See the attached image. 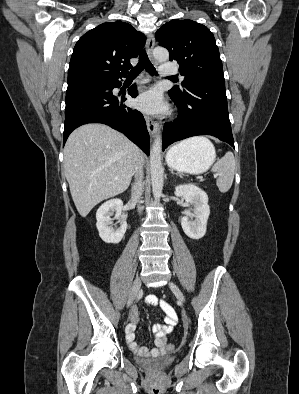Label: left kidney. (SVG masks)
Returning <instances> with one entry per match:
<instances>
[{
	"instance_id": "1",
	"label": "left kidney",
	"mask_w": 299,
	"mask_h": 394,
	"mask_svg": "<svg viewBox=\"0 0 299 394\" xmlns=\"http://www.w3.org/2000/svg\"><path fill=\"white\" fill-rule=\"evenodd\" d=\"M175 195L183 197L187 203L194 206L193 213L181 219L184 233L191 239H201L206 233V225L210 214L207 194L199 187L186 184L175 187ZM195 217V220H191Z\"/></svg>"
}]
</instances>
